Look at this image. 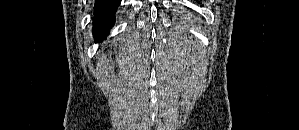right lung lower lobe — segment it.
I'll use <instances>...</instances> for the list:
<instances>
[{
	"mask_svg": "<svg viewBox=\"0 0 299 130\" xmlns=\"http://www.w3.org/2000/svg\"><path fill=\"white\" fill-rule=\"evenodd\" d=\"M120 0H96L93 17V36L102 41L108 35L115 22V13Z\"/></svg>",
	"mask_w": 299,
	"mask_h": 130,
	"instance_id": "right-lung-lower-lobe-1",
	"label": "right lung lower lobe"
}]
</instances>
